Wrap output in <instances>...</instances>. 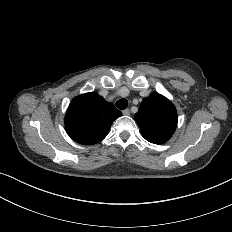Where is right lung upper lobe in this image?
<instances>
[{
	"mask_svg": "<svg viewBox=\"0 0 232 232\" xmlns=\"http://www.w3.org/2000/svg\"><path fill=\"white\" fill-rule=\"evenodd\" d=\"M121 116L112 103L95 92L75 97L65 116L68 135L77 143L92 145L103 140L112 122Z\"/></svg>",
	"mask_w": 232,
	"mask_h": 232,
	"instance_id": "cb5924a9",
	"label": "right lung upper lobe"
}]
</instances>
